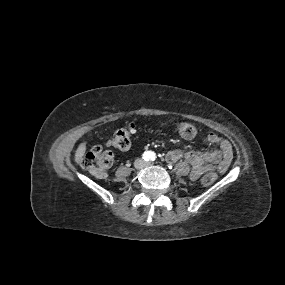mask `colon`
I'll list each match as a JSON object with an SVG mask.
<instances>
[{"mask_svg":"<svg viewBox=\"0 0 285 285\" xmlns=\"http://www.w3.org/2000/svg\"><path fill=\"white\" fill-rule=\"evenodd\" d=\"M178 132L184 139H193L197 135L196 126L188 121H181L177 126ZM133 125L119 128L109 140V145L121 150L128 149L131 145ZM112 165V154L100 145L92 147L83 157L81 166L97 178H105ZM217 179V174L207 172L201 181L204 185H211Z\"/></svg>","mask_w":285,"mask_h":285,"instance_id":"colon-1","label":"colon"}]
</instances>
